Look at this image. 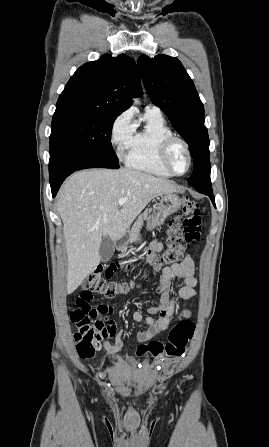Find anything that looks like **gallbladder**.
<instances>
[{
    "instance_id": "obj_1",
    "label": "gallbladder",
    "mask_w": 269,
    "mask_h": 447,
    "mask_svg": "<svg viewBox=\"0 0 269 447\" xmlns=\"http://www.w3.org/2000/svg\"><path fill=\"white\" fill-rule=\"evenodd\" d=\"M115 251L114 241L110 237H102L99 253L101 261H108Z\"/></svg>"
}]
</instances>
